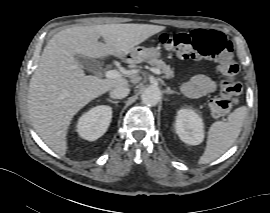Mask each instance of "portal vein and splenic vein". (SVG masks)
<instances>
[{"mask_svg":"<svg viewBox=\"0 0 270 213\" xmlns=\"http://www.w3.org/2000/svg\"><path fill=\"white\" fill-rule=\"evenodd\" d=\"M150 71L157 75H161V71L157 68H150ZM105 77L109 79H115L121 77V73L117 70H109L105 72Z\"/></svg>","mask_w":270,"mask_h":213,"instance_id":"obj_1","label":"portal vein and splenic vein"}]
</instances>
